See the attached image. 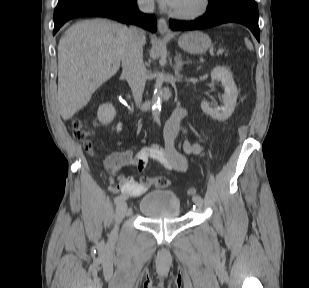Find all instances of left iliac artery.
Wrapping results in <instances>:
<instances>
[{
  "instance_id": "1",
  "label": "left iliac artery",
  "mask_w": 309,
  "mask_h": 288,
  "mask_svg": "<svg viewBox=\"0 0 309 288\" xmlns=\"http://www.w3.org/2000/svg\"><path fill=\"white\" fill-rule=\"evenodd\" d=\"M199 199H201V197H200V196H195V197H193V201H195V200H199Z\"/></svg>"
}]
</instances>
